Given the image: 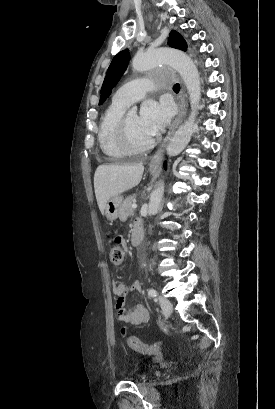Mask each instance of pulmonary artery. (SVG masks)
<instances>
[{
    "label": "pulmonary artery",
    "instance_id": "pulmonary-artery-1",
    "mask_svg": "<svg viewBox=\"0 0 275 409\" xmlns=\"http://www.w3.org/2000/svg\"><path fill=\"white\" fill-rule=\"evenodd\" d=\"M153 79H130L129 85H118L117 93L113 97V103L123 108H128L134 102L140 100L147 88H153Z\"/></svg>",
    "mask_w": 275,
    "mask_h": 409
}]
</instances>
